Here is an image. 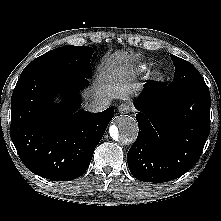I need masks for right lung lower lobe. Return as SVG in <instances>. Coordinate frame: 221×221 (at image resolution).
Segmentation results:
<instances>
[{
	"label": "right lung lower lobe",
	"mask_w": 221,
	"mask_h": 221,
	"mask_svg": "<svg viewBox=\"0 0 221 221\" xmlns=\"http://www.w3.org/2000/svg\"><path fill=\"white\" fill-rule=\"evenodd\" d=\"M84 77L32 72L20 76L11 98L10 136L24 165L54 181L80 177L114 116V107L90 113L79 108ZM64 92L65 102L53 107Z\"/></svg>",
	"instance_id": "98d812e1"
}]
</instances>
